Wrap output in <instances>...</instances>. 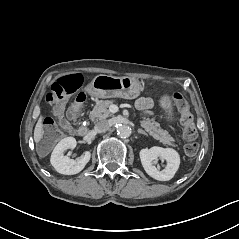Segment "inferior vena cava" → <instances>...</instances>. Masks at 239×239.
<instances>
[{
  "label": "inferior vena cava",
  "mask_w": 239,
  "mask_h": 239,
  "mask_svg": "<svg viewBox=\"0 0 239 239\" xmlns=\"http://www.w3.org/2000/svg\"><path fill=\"white\" fill-rule=\"evenodd\" d=\"M110 128V123L108 120H101L96 123L95 130L99 133L106 132Z\"/></svg>",
  "instance_id": "1"
}]
</instances>
